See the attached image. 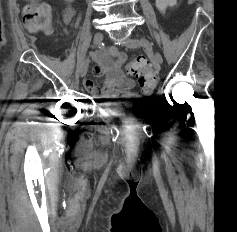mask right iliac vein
Instances as JSON below:
<instances>
[{
    "label": "right iliac vein",
    "instance_id": "1",
    "mask_svg": "<svg viewBox=\"0 0 237 232\" xmlns=\"http://www.w3.org/2000/svg\"><path fill=\"white\" fill-rule=\"evenodd\" d=\"M103 40V34L101 32H96L94 35V44H99ZM89 59H86L81 66L80 75L84 77L88 71Z\"/></svg>",
    "mask_w": 237,
    "mask_h": 232
}]
</instances>
